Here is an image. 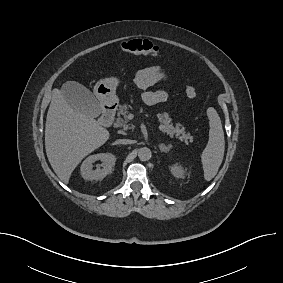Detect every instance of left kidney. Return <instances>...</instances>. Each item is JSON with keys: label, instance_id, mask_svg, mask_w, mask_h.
Returning a JSON list of instances; mask_svg holds the SVG:
<instances>
[{"label": "left kidney", "instance_id": "obj_1", "mask_svg": "<svg viewBox=\"0 0 283 283\" xmlns=\"http://www.w3.org/2000/svg\"><path fill=\"white\" fill-rule=\"evenodd\" d=\"M170 171L173 174V176L176 178H183L185 175V170L177 164H174L173 166H171Z\"/></svg>", "mask_w": 283, "mask_h": 283}]
</instances>
